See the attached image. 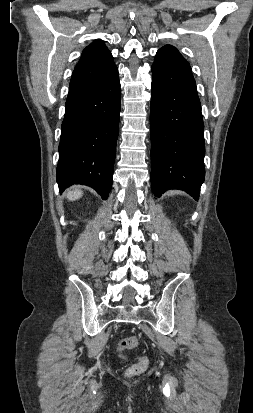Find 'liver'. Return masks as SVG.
Wrapping results in <instances>:
<instances>
[{
	"label": "liver",
	"mask_w": 253,
	"mask_h": 413,
	"mask_svg": "<svg viewBox=\"0 0 253 413\" xmlns=\"http://www.w3.org/2000/svg\"><path fill=\"white\" fill-rule=\"evenodd\" d=\"M81 196H82V191L79 189H75L67 193V198L72 201L79 199Z\"/></svg>",
	"instance_id": "1"
}]
</instances>
